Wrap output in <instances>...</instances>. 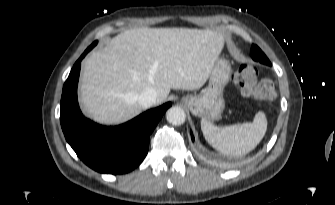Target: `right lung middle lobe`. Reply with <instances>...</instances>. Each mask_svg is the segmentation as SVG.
Returning <instances> with one entry per match:
<instances>
[{
	"instance_id": "obj_1",
	"label": "right lung middle lobe",
	"mask_w": 335,
	"mask_h": 205,
	"mask_svg": "<svg viewBox=\"0 0 335 205\" xmlns=\"http://www.w3.org/2000/svg\"><path fill=\"white\" fill-rule=\"evenodd\" d=\"M96 44H97V42H94V43L91 45V47L93 48Z\"/></svg>"
}]
</instances>
